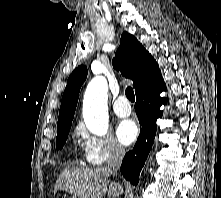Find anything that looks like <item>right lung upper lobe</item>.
Returning <instances> with one entry per match:
<instances>
[{
  "label": "right lung upper lobe",
  "mask_w": 221,
  "mask_h": 198,
  "mask_svg": "<svg viewBox=\"0 0 221 198\" xmlns=\"http://www.w3.org/2000/svg\"><path fill=\"white\" fill-rule=\"evenodd\" d=\"M113 67L133 80L135 93L145 88L160 74L158 64L142 44L131 34L123 32L120 46L113 59ZM87 77L86 66L76 68L68 78L61 100L57 131L71 126L80 88Z\"/></svg>",
  "instance_id": "obj_1"
}]
</instances>
